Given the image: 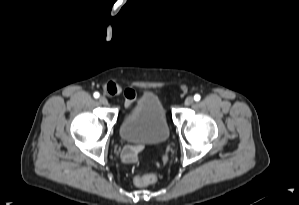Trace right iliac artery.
Listing matches in <instances>:
<instances>
[{
  "label": "right iliac artery",
  "mask_w": 299,
  "mask_h": 205,
  "mask_svg": "<svg viewBox=\"0 0 299 205\" xmlns=\"http://www.w3.org/2000/svg\"><path fill=\"white\" fill-rule=\"evenodd\" d=\"M93 96H94L95 98H99L100 95H99L98 92H95Z\"/></svg>",
  "instance_id": "1"
}]
</instances>
